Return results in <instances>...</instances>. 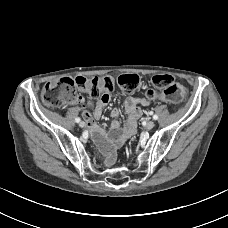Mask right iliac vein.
Instances as JSON below:
<instances>
[{
	"label": "right iliac vein",
	"mask_w": 228,
	"mask_h": 228,
	"mask_svg": "<svg viewBox=\"0 0 228 228\" xmlns=\"http://www.w3.org/2000/svg\"><path fill=\"white\" fill-rule=\"evenodd\" d=\"M79 126H80L81 128L85 127V122L81 121V122L79 123Z\"/></svg>",
	"instance_id": "obj_1"
}]
</instances>
